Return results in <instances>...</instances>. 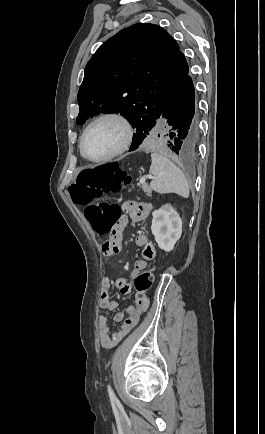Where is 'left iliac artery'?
Returning <instances> with one entry per match:
<instances>
[{"label": "left iliac artery", "instance_id": "left-iliac-artery-1", "mask_svg": "<svg viewBox=\"0 0 265 434\" xmlns=\"http://www.w3.org/2000/svg\"><path fill=\"white\" fill-rule=\"evenodd\" d=\"M108 393H109V397H110V400L113 402V401H116V396H115V394H114V392H113V390H112V388H111V386L110 385H108Z\"/></svg>", "mask_w": 265, "mask_h": 434}]
</instances>
